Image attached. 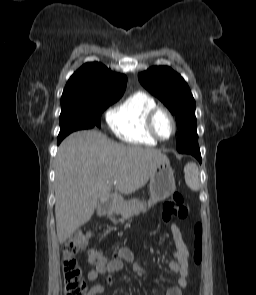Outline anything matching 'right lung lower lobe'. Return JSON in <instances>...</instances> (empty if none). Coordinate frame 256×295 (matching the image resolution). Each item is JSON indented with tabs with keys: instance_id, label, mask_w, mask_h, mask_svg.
I'll use <instances>...</instances> for the list:
<instances>
[{
	"instance_id": "right-lung-lower-lobe-1",
	"label": "right lung lower lobe",
	"mask_w": 256,
	"mask_h": 295,
	"mask_svg": "<svg viewBox=\"0 0 256 295\" xmlns=\"http://www.w3.org/2000/svg\"><path fill=\"white\" fill-rule=\"evenodd\" d=\"M85 122H86V125L90 126L89 128H92V127H91L92 122H91L90 119L87 118V119L85 120ZM63 138H64V137H58V144L63 140Z\"/></svg>"
}]
</instances>
